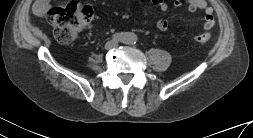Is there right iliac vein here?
I'll use <instances>...</instances> for the list:
<instances>
[{"label":"right iliac vein","instance_id":"obj_1","mask_svg":"<svg viewBox=\"0 0 253 138\" xmlns=\"http://www.w3.org/2000/svg\"><path fill=\"white\" fill-rule=\"evenodd\" d=\"M110 47H111V44H110V43L106 45V48L109 49Z\"/></svg>","mask_w":253,"mask_h":138}]
</instances>
